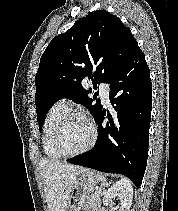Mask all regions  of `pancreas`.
I'll return each instance as SVG.
<instances>
[{
  "label": "pancreas",
  "mask_w": 178,
  "mask_h": 211,
  "mask_svg": "<svg viewBox=\"0 0 178 211\" xmlns=\"http://www.w3.org/2000/svg\"><path fill=\"white\" fill-rule=\"evenodd\" d=\"M100 206V196L99 194L92 193L90 197L87 199L84 209L86 211H96V209Z\"/></svg>",
  "instance_id": "obj_1"
}]
</instances>
